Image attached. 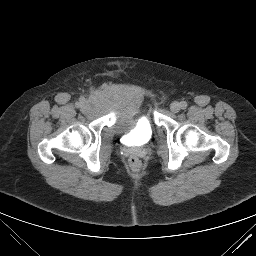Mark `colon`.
Segmentation results:
<instances>
[{"label": "colon", "instance_id": "1", "mask_svg": "<svg viewBox=\"0 0 256 256\" xmlns=\"http://www.w3.org/2000/svg\"><path fill=\"white\" fill-rule=\"evenodd\" d=\"M128 163L133 170H138L141 166V161L136 156H131L128 160Z\"/></svg>", "mask_w": 256, "mask_h": 256}]
</instances>
